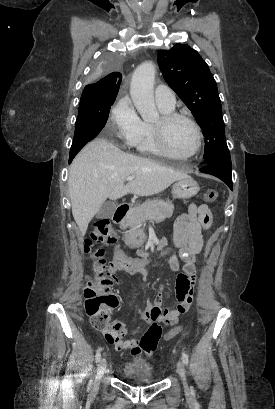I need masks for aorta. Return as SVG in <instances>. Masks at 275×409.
Here are the masks:
<instances>
[{"label":"aorta","instance_id":"aorta-1","mask_svg":"<svg viewBox=\"0 0 275 409\" xmlns=\"http://www.w3.org/2000/svg\"><path fill=\"white\" fill-rule=\"evenodd\" d=\"M155 70L156 68L151 60L142 62L133 72L130 84L131 98L143 120H156V118H159L153 94Z\"/></svg>","mask_w":275,"mask_h":409}]
</instances>
